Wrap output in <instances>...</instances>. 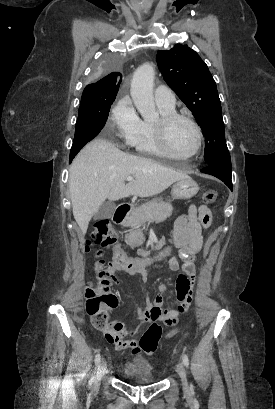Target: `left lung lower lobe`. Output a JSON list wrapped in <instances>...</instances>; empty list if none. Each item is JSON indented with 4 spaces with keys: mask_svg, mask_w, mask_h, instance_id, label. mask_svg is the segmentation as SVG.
Masks as SVG:
<instances>
[{
    "mask_svg": "<svg viewBox=\"0 0 275 409\" xmlns=\"http://www.w3.org/2000/svg\"><path fill=\"white\" fill-rule=\"evenodd\" d=\"M201 172L213 175L220 180H222L232 191L231 182V168H228L225 164H211L207 165L205 168L201 169Z\"/></svg>",
    "mask_w": 275,
    "mask_h": 409,
    "instance_id": "left-lung-lower-lobe-1",
    "label": "left lung lower lobe"
}]
</instances>
